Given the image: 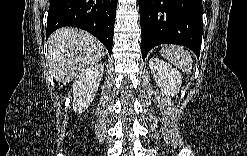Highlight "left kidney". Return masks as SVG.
Returning <instances> with one entry per match:
<instances>
[{
	"mask_svg": "<svg viewBox=\"0 0 247 156\" xmlns=\"http://www.w3.org/2000/svg\"><path fill=\"white\" fill-rule=\"evenodd\" d=\"M149 68L162 92L169 96L177 95L182 84V76L177 69L157 57L149 59Z\"/></svg>",
	"mask_w": 247,
	"mask_h": 156,
	"instance_id": "5707ae66",
	"label": "left kidney"
}]
</instances>
